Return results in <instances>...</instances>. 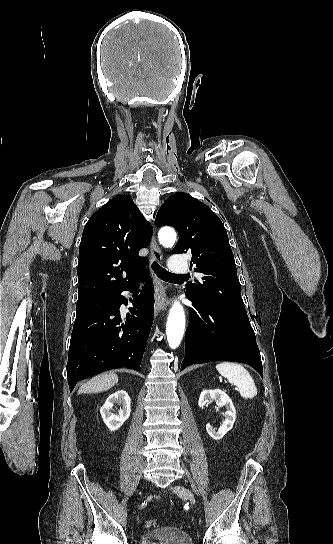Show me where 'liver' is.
Listing matches in <instances>:
<instances>
[{
	"label": "liver",
	"mask_w": 333,
	"mask_h": 544,
	"mask_svg": "<svg viewBox=\"0 0 333 544\" xmlns=\"http://www.w3.org/2000/svg\"><path fill=\"white\" fill-rule=\"evenodd\" d=\"M118 383V376L114 373L101 374L95 376L87 383H85L80 389L81 393H97L110 389L112 386Z\"/></svg>",
	"instance_id": "obj_1"
}]
</instances>
